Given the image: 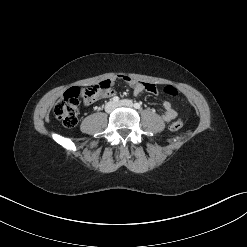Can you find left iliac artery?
Instances as JSON below:
<instances>
[{
    "label": "left iliac artery",
    "mask_w": 247,
    "mask_h": 247,
    "mask_svg": "<svg viewBox=\"0 0 247 247\" xmlns=\"http://www.w3.org/2000/svg\"><path fill=\"white\" fill-rule=\"evenodd\" d=\"M134 107H135L136 109H140V108H141V104H140V103H135V104H134Z\"/></svg>",
    "instance_id": "left-iliac-artery-1"
}]
</instances>
